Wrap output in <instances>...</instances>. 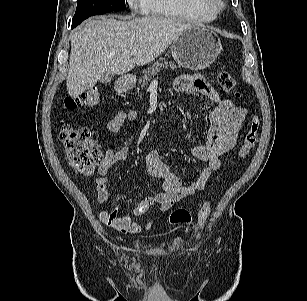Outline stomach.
Instances as JSON below:
<instances>
[{
  "mask_svg": "<svg viewBox=\"0 0 307 301\" xmlns=\"http://www.w3.org/2000/svg\"><path fill=\"white\" fill-rule=\"evenodd\" d=\"M223 50L218 36L205 27H196L183 31L173 41L171 53L174 60L190 70H201L210 66ZM118 92L126 91L129 86L126 78L118 80L115 86Z\"/></svg>",
  "mask_w": 307,
  "mask_h": 301,
  "instance_id": "1",
  "label": "stomach"
}]
</instances>
